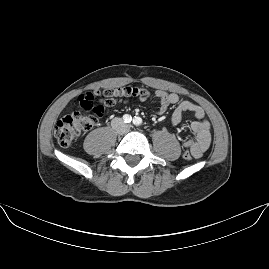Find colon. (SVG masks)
<instances>
[{"mask_svg":"<svg viewBox=\"0 0 269 269\" xmlns=\"http://www.w3.org/2000/svg\"><path fill=\"white\" fill-rule=\"evenodd\" d=\"M92 92L86 90L81 94L80 103L85 105L83 113H67L56 123L55 137L61 145H71L86 131L97 127L100 119V111L104 107H110L118 102L135 96L147 94V90L139 86H122L117 89L100 92L101 101L90 99ZM98 97V94H95ZM96 101L97 105H94ZM182 156L185 160H191L190 152L184 151Z\"/></svg>","mask_w":269,"mask_h":269,"instance_id":"1","label":"colon"}]
</instances>
